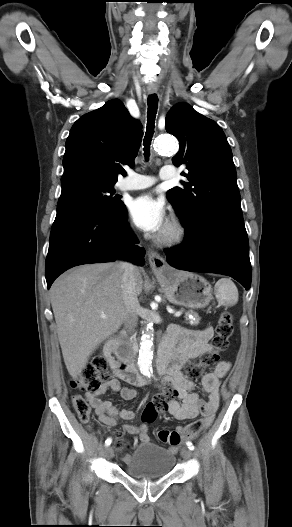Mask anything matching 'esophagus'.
I'll return each mask as SVG.
<instances>
[{"instance_id": "34e87169", "label": "esophagus", "mask_w": 292, "mask_h": 527, "mask_svg": "<svg viewBox=\"0 0 292 527\" xmlns=\"http://www.w3.org/2000/svg\"><path fill=\"white\" fill-rule=\"evenodd\" d=\"M155 91L150 90L148 91V94H154ZM148 261L151 269L154 272H162L167 268V264L165 259L156 251L149 250L148 251Z\"/></svg>"}]
</instances>
